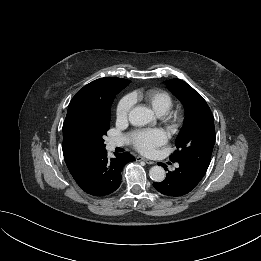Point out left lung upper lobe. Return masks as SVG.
<instances>
[{
    "instance_id": "1",
    "label": "left lung upper lobe",
    "mask_w": 261,
    "mask_h": 261,
    "mask_svg": "<svg viewBox=\"0 0 261 261\" xmlns=\"http://www.w3.org/2000/svg\"><path fill=\"white\" fill-rule=\"evenodd\" d=\"M168 89L185 107L183 127L176 139L172 162H182L204 176L215 144L214 118L203 97L180 79L166 81Z\"/></svg>"
}]
</instances>
